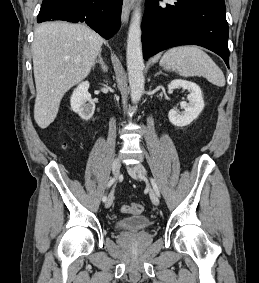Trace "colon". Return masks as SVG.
Wrapping results in <instances>:
<instances>
[{
	"mask_svg": "<svg viewBox=\"0 0 259 283\" xmlns=\"http://www.w3.org/2000/svg\"><path fill=\"white\" fill-rule=\"evenodd\" d=\"M123 213L141 214L144 211L143 205L139 203H132L121 207Z\"/></svg>",
	"mask_w": 259,
	"mask_h": 283,
	"instance_id": "colon-1",
	"label": "colon"
}]
</instances>
